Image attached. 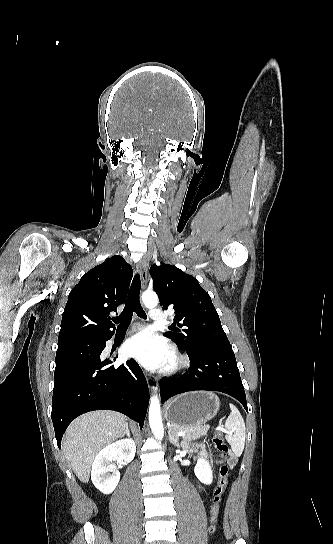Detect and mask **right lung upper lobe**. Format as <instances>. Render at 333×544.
Listing matches in <instances>:
<instances>
[{
    "label": "right lung upper lobe",
    "instance_id": "obj_1",
    "mask_svg": "<svg viewBox=\"0 0 333 544\" xmlns=\"http://www.w3.org/2000/svg\"><path fill=\"white\" fill-rule=\"evenodd\" d=\"M132 275L121 256H112L83 275L68 296L58 345L112 336L109 314L125 302Z\"/></svg>",
    "mask_w": 333,
    "mask_h": 544
}]
</instances>
